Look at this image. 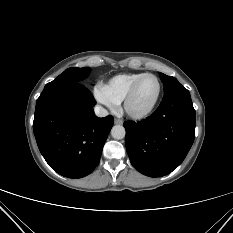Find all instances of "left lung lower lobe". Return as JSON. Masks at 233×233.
<instances>
[{
  "label": "left lung lower lobe",
  "instance_id": "1",
  "mask_svg": "<svg viewBox=\"0 0 233 233\" xmlns=\"http://www.w3.org/2000/svg\"><path fill=\"white\" fill-rule=\"evenodd\" d=\"M125 144L132 165L149 177L176 169L195 138V110L189 91L163 97L157 110L140 122H125Z\"/></svg>",
  "mask_w": 233,
  "mask_h": 233
}]
</instances>
